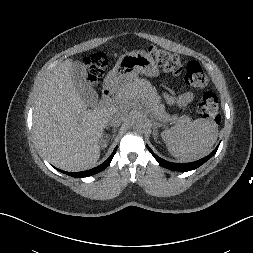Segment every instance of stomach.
Listing matches in <instances>:
<instances>
[{"label":"stomach","instance_id":"0dacf381","mask_svg":"<svg viewBox=\"0 0 253 253\" xmlns=\"http://www.w3.org/2000/svg\"><path fill=\"white\" fill-rule=\"evenodd\" d=\"M139 73L155 77L159 75V69L149 54L139 51L129 52L120 56L115 67L105 78V84L118 87L122 83L131 81Z\"/></svg>","mask_w":253,"mask_h":253}]
</instances>
